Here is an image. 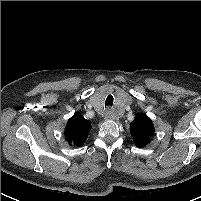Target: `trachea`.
I'll return each instance as SVG.
<instances>
[{
  "label": "trachea",
  "instance_id": "3493384b",
  "mask_svg": "<svg viewBox=\"0 0 201 201\" xmlns=\"http://www.w3.org/2000/svg\"><path fill=\"white\" fill-rule=\"evenodd\" d=\"M114 98L112 95H108L105 101V107H109L113 105Z\"/></svg>",
  "mask_w": 201,
  "mask_h": 201
}]
</instances>
